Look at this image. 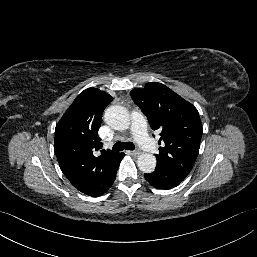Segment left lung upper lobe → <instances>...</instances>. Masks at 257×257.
Here are the masks:
<instances>
[{
  "instance_id": "1",
  "label": "left lung upper lobe",
  "mask_w": 257,
  "mask_h": 257,
  "mask_svg": "<svg viewBox=\"0 0 257 257\" xmlns=\"http://www.w3.org/2000/svg\"><path fill=\"white\" fill-rule=\"evenodd\" d=\"M130 95L147 116L151 128L160 131L158 144H163L156 155L157 165L186 177L197 158L203 132L195 106L157 82L133 89Z\"/></svg>"
}]
</instances>
